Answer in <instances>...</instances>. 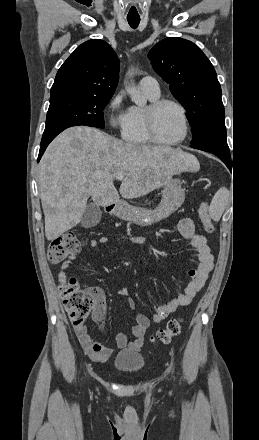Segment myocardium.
<instances>
[{"mask_svg":"<svg viewBox=\"0 0 259 440\" xmlns=\"http://www.w3.org/2000/svg\"><path fill=\"white\" fill-rule=\"evenodd\" d=\"M166 105H174L175 107H177L182 116L184 132L183 135L175 141L162 140L158 136L156 130V118L158 112ZM145 124H146L147 134L150 140L153 143L161 146H176L183 143L187 139L190 131L189 119L186 108L179 101L170 98H161L150 103V105L145 109Z\"/></svg>","mask_w":259,"mask_h":440,"instance_id":"myocardium-1","label":"myocardium"}]
</instances>
